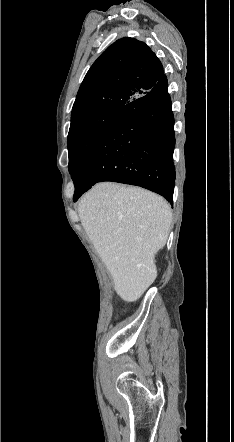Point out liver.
Here are the masks:
<instances>
[{
    "label": "liver",
    "mask_w": 234,
    "mask_h": 442,
    "mask_svg": "<svg viewBox=\"0 0 234 442\" xmlns=\"http://www.w3.org/2000/svg\"><path fill=\"white\" fill-rule=\"evenodd\" d=\"M81 224L112 276L116 293L137 301L154 282L155 254L168 239L169 204L138 187L104 182L78 204Z\"/></svg>",
    "instance_id": "liver-1"
}]
</instances>
